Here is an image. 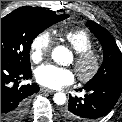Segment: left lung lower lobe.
<instances>
[{"mask_svg":"<svg viewBox=\"0 0 122 122\" xmlns=\"http://www.w3.org/2000/svg\"><path fill=\"white\" fill-rule=\"evenodd\" d=\"M83 88L87 92L85 98L70 95L69 104L63 111L64 118L71 122H90L107 115L122 92V84L119 83L85 85Z\"/></svg>","mask_w":122,"mask_h":122,"instance_id":"obj_1","label":"left lung lower lobe"}]
</instances>
